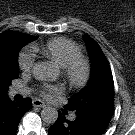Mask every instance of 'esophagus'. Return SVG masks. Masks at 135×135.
Wrapping results in <instances>:
<instances>
[{
    "mask_svg": "<svg viewBox=\"0 0 135 135\" xmlns=\"http://www.w3.org/2000/svg\"><path fill=\"white\" fill-rule=\"evenodd\" d=\"M33 106L34 107H45L46 106V104L42 101V100H40V99H34L33 100Z\"/></svg>",
    "mask_w": 135,
    "mask_h": 135,
    "instance_id": "1",
    "label": "esophagus"
}]
</instances>
